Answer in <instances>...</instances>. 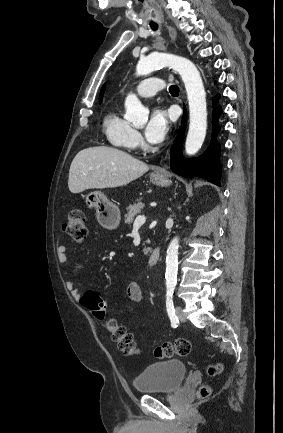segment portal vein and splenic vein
<instances>
[{
	"mask_svg": "<svg viewBox=\"0 0 283 433\" xmlns=\"http://www.w3.org/2000/svg\"><path fill=\"white\" fill-rule=\"evenodd\" d=\"M145 221H146V217H144V214H139V217H136L134 221V225H143Z\"/></svg>",
	"mask_w": 283,
	"mask_h": 433,
	"instance_id": "portal-vein-and-splenic-vein-1",
	"label": "portal vein and splenic vein"
}]
</instances>
